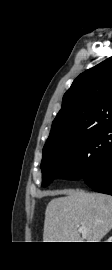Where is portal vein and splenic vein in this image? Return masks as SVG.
Segmentation results:
<instances>
[{
    "mask_svg": "<svg viewBox=\"0 0 112 270\" xmlns=\"http://www.w3.org/2000/svg\"><path fill=\"white\" fill-rule=\"evenodd\" d=\"M79 232L80 233H86V227L85 226L80 227Z\"/></svg>",
    "mask_w": 112,
    "mask_h": 270,
    "instance_id": "portal-vein-and-splenic-vein-1",
    "label": "portal vein and splenic vein"
}]
</instances>
